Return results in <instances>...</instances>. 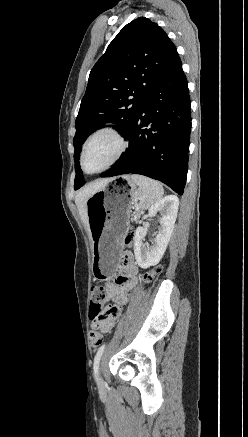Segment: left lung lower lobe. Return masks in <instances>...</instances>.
Segmentation results:
<instances>
[{"label":"left lung lower lobe","mask_w":248,"mask_h":437,"mask_svg":"<svg viewBox=\"0 0 248 437\" xmlns=\"http://www.w3.org/2000/svg\"><path fill=\"white\" fill-rule=\"evenodd\" d=\"M191 102L179 57L147 94L130 132L129 148L100 177L141 174L183 194L188 169Z\"/></svg>","instance_id":"0a47b994"}]
</instances>
